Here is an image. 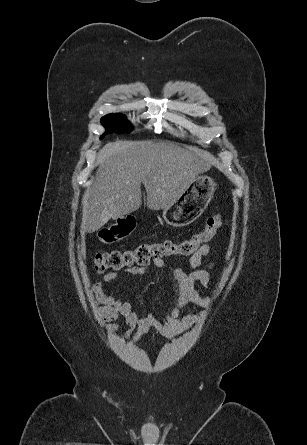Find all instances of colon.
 <instances>
[{"instance_id":"5ec220e1","label":"colon","mask_w":307,"mask_h":445,"mask_svg":"<svg viewBox=\"0 0 307 445\" xmlns=\"http://www.w3.org/2000/svg\"><path fill=\"white\" fill-rule=\"evenodd\" d=\"M222 225L220 214L207 218L204 227L193 235L181 240H163L156 243H141L134 248L99 252L94 258V266L98 272L105 270H121L149 264L154 259L174 256H190L211 240ZM136 228L135 219L126 216L115 223L102 228L98 238L103 244H113L126 238Z\"/></svg>"}]
</instances>
